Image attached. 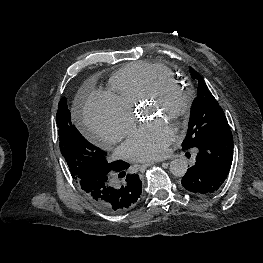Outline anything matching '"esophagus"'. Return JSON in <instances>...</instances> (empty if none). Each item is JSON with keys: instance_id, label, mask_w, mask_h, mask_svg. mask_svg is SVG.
<instances>
[{"instance_id": "1", "label": "esophagus", "mask_w": 263, "mask_h": 263, "mask_svg": "<svg viewBox=\"0 0 263 263\" xmlns=\"http://www.w3.org/2000/svg\"><path fill=\"white\" fill-rule=\"evenodd\" d=\"M154 163H156V162H148V163H145V164L143 165V167L151 166V165H153Z\"/></svg>"}]
</instances>
